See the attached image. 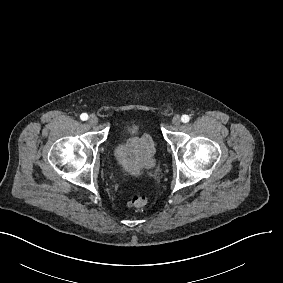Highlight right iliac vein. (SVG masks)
<instances>
[{"instance_id": "right-iliac-vein-1", "label": "right iliac vein", "mask_w": 283, "mask_h": 283, "mask_svg": "<svg viewBox=\"0 0 283 283\" xmlns=\"http://www.w3.org/2000/svg\"><path fill=\"white\" fill-rule=\"evenodd\" d=\"M89 124L96 125L98 123V118L95 115H91L88 119Z\"/></svg>"}]
</instances>
